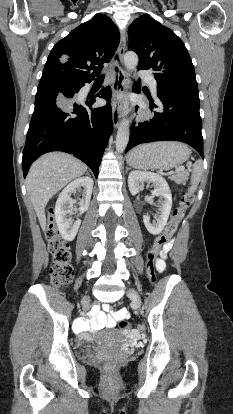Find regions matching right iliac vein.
<instances>
[{"mask_svg":"<svg viewBox=\"0 0 233 414\" xmlns=\"http://www.w3.org/2000/svg\"><path fill=\"white\" fill-rule=\"evenodd\" d=\"M88 301V297H86L84 300H83V303H86Z\"/></svg>","mask_w":233,"mask_h":414,"instance_id":"right-iliac-vein-1","label":"right iliac vein"}]
</instances>
